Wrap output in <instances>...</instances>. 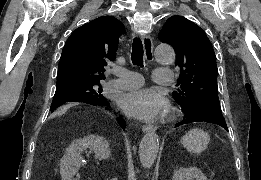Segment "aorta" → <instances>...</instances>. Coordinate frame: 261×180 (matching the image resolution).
Listing matches in <instances>:
<instances>
[{"label":"aorta","mask_w":261,"mask_h":180,"mask_svg":"<svg viewBox=\"0 0 261 180\" xmlns=\"http://www.w3.org/2000/svg\"><path fill=\"white\" fill-rule=\"evenodd\" d=\"M156 60L162 64H169L173 62L175 53L173 49L161 44L155 49ZM159 150V137L155 132L146 134L139 145V158L144 168H150L157 157Z\"/></svg>","instance_id":"aorta-1"}]
</instances>
